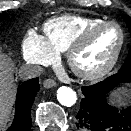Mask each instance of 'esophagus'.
<instances>
[{"label": "esophagus", "instance_id": "obj_1", "mask_svg": "<svg viewBox=\"0 0 131 131\" xmlns=\"http://www.w3.org/2000/svg\"><path fill=\"white\" fill-rule=\"evenodd\" d=\"M57 85L56 81L54 79H46L43 82V87L44 88H52L55 87Z\"/></svg>", "mask_w": 131, "mask_h": 131}]
</instances>
